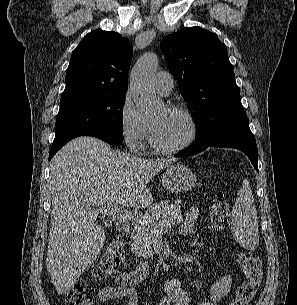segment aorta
I'll list each match as a JSON object with an SVG mask.
<instances>
[{
    "instance_id": "1",
    "label": "aorta",
    "mask_w": 297,
    "mask_h": 305,
    "mask_svg": "<svg viewBox=\"0 0 297 305\" xmlns=\"http://www.w3.org/2000/svg\"><path fill=\"white\" fill-rule=\"evenodd\" d=\"M157 65V56L146 53L136 62L130 74L133 98L137 109L143 114H155L161 106L153 82Z\"/></svg>"
}]
</instances>
